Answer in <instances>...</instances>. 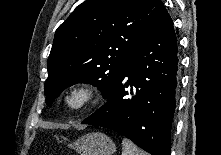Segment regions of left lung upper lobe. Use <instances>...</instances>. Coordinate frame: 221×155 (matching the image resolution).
Instances as JSON below:
<instances>
[{
    "mask_svg": "<svg viewBox=\"0 0 221 155\" xmlns=\"http://www.w3.org/2000/svg\"><path fill=\"white\" fill-rule=\"evenodd\" d=\"M164 8L161 0H86L58 27L48 58L46 104L84 82L110 94L133 50Z\"/></svg>",
    "mask_w": 221,
    "mask_h": 155,
    "instance_id": "left-lung-upper-lobe-1",
    "label": "left lung upper lobe"
}]
</instances>
